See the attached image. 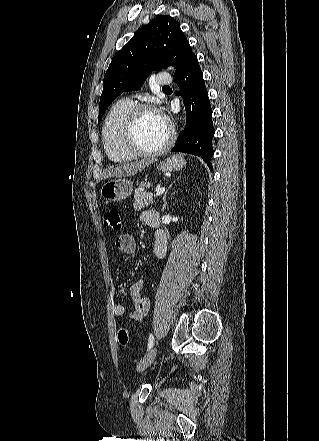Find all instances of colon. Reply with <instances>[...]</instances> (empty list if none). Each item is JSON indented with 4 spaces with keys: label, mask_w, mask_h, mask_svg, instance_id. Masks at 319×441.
<instances>
[{
    "label": "colon",
    "mask_w": 319,
    "mask_h": 441,
    "mask_svg": "<svg viewBox=\"0 0 319 441\" xmlns=\"http://www.w3.org/2000/svg\"><path fill=\"white\" fill-rule=\"evenodd\" d=\"M104 224L114 231H119L122 228V218L120 210L117 207H111L104 212ZM118 340L121 345H126L128 342V330L125 326L118 329Z\"/></svg>",
    "instance_id": "colon-1"
}]
</instances>
